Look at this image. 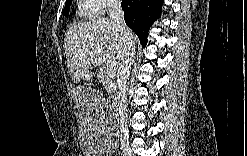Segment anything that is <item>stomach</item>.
Wrapping results in <instances>:
<instances>
[{
	"label": "stomach",
	"mask_w": 247,
	"mask_h": 156,
	"mask_svg": "<svg viewBox=\"0 0 247 156\" xmlns=\"http://www.w3.org/2000/svg\"><path fill=\"white\" fill-rule=\"evenodd\" d=\"M87 76L90 78L92 75L90 73H87Z\"/></svg>",
	"instance_id": "1"
}]
</instances>
